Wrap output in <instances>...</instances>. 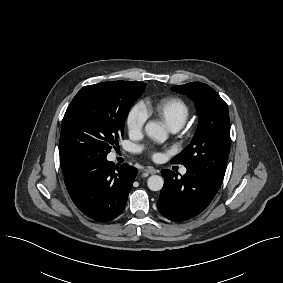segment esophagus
Segmentation results:
<instances>
[{
    "mask_svg": "<svg viewBox=\"0 0 283 283\" xmlns=\"http://www.w3.org/2000/svg\"><path fill=\"white\" fill-rule=\"evenodd\" d=\"M144 171L148 174H156L157 173V170L154 167H151V166L147 167Z\"/></svg>",
    "mask_w": 283,
    "mask_h": 283,
    "instance_id": "esophagus-1",
    "label": "esophagus"
}]
</instances>
